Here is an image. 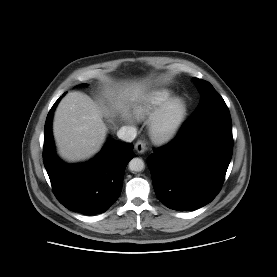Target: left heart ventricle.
<instances>
[{"label": "left heart ventricle", "instance_id": "left-heart-ventricle-1", "mask_svg": "<svg viewBox=\"0 0 277 277\" xmlns=\"http://www.w3.org/2000/svg\"><path fill=\"white\" fill-rule=\"evenodd\" d=\"M175 115H176V110H173L171 113H170V115H169V117H168V119H167V123H170L173 119H174V117H175Z\"/></svg>", "mask_w": 277, "mask_h": 277}]
</instances>
